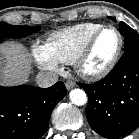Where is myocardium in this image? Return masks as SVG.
<instances>
[{
	"mask_svg": "<svg viewBox=\"0 0 139 139\" xmlns=\"http://www.w3.org/2000/svg\"><path fill=\"white\" fill-rule=\"evenodd\" d=\"M109 29L115 31V33L117 34V37H118V46L116 48V51H115L113 57L100 70H97V71L87 70L85 68V62L92 51L95 41L97 40V38L99 37V35L101 33H103L106 30H109ZM123 45H124V39H123V35L120 32V30L113 25H103L89 37V39L87 40V42L85 43V45L83 46V48L81 49L79 54L77 55V57L74 61V68H75L76 72L82 78L91 80V81L100 80V79L106 77L117 65V63L120 59L122 50H123Z\"/></svg>",
	"mask_w": 139,
	"mask_h": 139,
	"instance_id": "f54148a6",
	"label": "myocardium"
}]
</instances>
